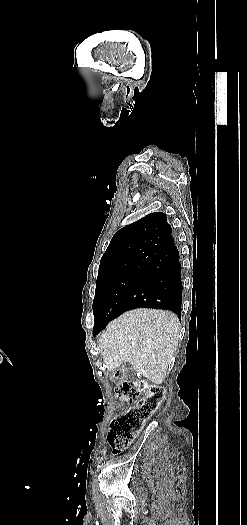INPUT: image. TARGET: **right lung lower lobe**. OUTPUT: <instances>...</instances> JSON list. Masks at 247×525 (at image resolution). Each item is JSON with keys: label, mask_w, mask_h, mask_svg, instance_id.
I'll return each instance as SVG.
<instances>
[{"label": "right lung lower lobe", "mask_w": 247, "mask_h": 525, "mask_svg": "<svg viewBox=\"0 0 247 525\" xmlns=\"http://www.w3.org/2000/svg\"><path fill=\"white\" fill-rule=\"evenodd\" d=\"M181 305V265L179 251L173 240L152 256L151 263L119 305L117 314L143 307L170 310L180 317ZM103 328L104 325L94 326V335Z\"/></svg>", "instance_id": "right-lung-lower-lobe-1"}]
</instances>
